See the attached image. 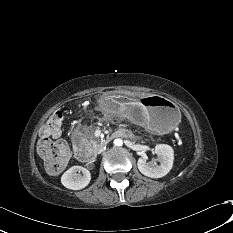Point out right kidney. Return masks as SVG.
Instances as JSON below:
<instances>
[{
	"instance_id": "ca27d5eb",
	"label": "right kidney",
	"mask_w": 233,
	"mask_h": 233,
	"mask_svg": "<svg viewBox=\"0 0 233 233\" xmlns=\"http://www.w3.org/2000/svg\"><path fill=\"white\" fill-rule=\"evenodd\" d=\"M82 172L83 175L80 174ZM91 180L90 172L81 166H72L61 177V183L68 189L80 190L85 188Z\"/></svg>"
}]
</instances>
